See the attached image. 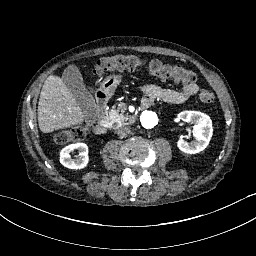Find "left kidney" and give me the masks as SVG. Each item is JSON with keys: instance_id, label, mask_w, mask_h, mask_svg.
<instances>
[{"instance_id": "obj_1", "label": "left kidney", "mask_w": 256, "mask_h": 256, "mask_svg": "<svg viewBox=\"0 0 256 256\" xmlns=\"http://www.w3.org/2000/svg\"><path fill=\"white\" fill-rule=\"evenodd\" d=\"M178 118L186 123L193 124L192 133L196 141L188 143L181 139L177 141L178 149L185 154H198L204 151L212 138V120L209 116L198 111H184Z\"/></svg>"}]
</instances>
